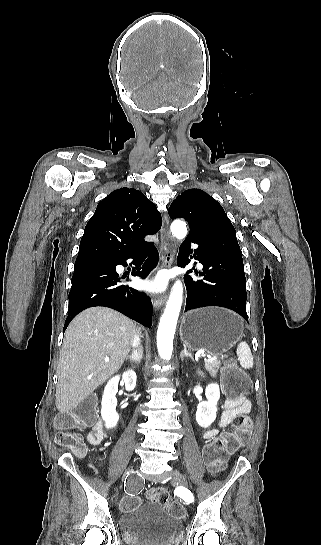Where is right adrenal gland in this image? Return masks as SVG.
I'll return each instance as SVG.
<instances>
[{
    "mask_svg": "<svg viewBox=\"0 0 321 545\" xmlns=\"http://www.w3.org/2000/svg\"><path fill=\"white\" fill-rule=\"evenodd\" d=\"M131 361V363H135V365H139L143 359V347H140V349H137V351H133L132 355H128L126 357V361Z\"/></svg>",
    "mask_w": 321,
    "mask_h": 545,
    "instance_id": "2a0ac1e0",
    "label": "right adrenal gland"
}]
</instances>
